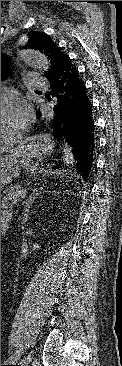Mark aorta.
I'll use <instances>...</instances> for the list:
<instances>
[{
    "mask_svg": "<svg viewBox=\"0 0 122 366\" xmlns=\"http://www.w3.org/2000/svg\"><path fill=\"white\" fill-rule=\"evenodd\" d=\"M19 58L27 66L34 69L48 71L51 66L49 58L38 49L22 47L19 50ZM61 139L63 165L69 166L73 163L72 147L65 135H62Z\"/></svg>",
    "mask_w": 122,
    "mask_h": 366,
    "instance_id": "aorta-1",
    "label": "aorta"
}]
</instances>
